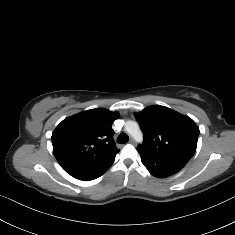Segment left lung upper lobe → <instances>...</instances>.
I'll return each instance as SVG.
<instances>
[{
  "label": "left lung upper lobe",
  "mask_w": 235,
  "mask_h": 235,
  "mask_svg": "<svg viewBox=\"0 0 235 235\" xmlns=\"http://www.w3.org/2000/svg\"><path fill=\"white\" fill-rule=\"evenodd\" d=\"M144 141L139 153L172 160L184 165L196 151L199 128L188 116L170 108L153 105L135 114Z\"/></svg>",
  "instance_id": "obj_1"
}]
</instances>
